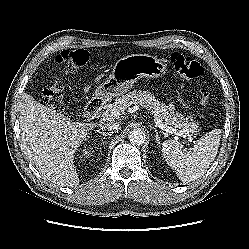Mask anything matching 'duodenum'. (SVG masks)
Here are the masks:
<instances>
[{
    "label": "duodenum",
    "mask_w": 249,
    "mask_h": 249,
    "mask_svg": "<svg viewBox=\"0 0 249 249\" xmlns=\"http://www.w3.org/2000/svg\"><path fill=\"white\" fill-rule=\"evenodd\" d=\"M103 106V100L100 97L92 98L86 105L84 115L87 119H94L99 114Z\"/></svg>",
    "instance_id": "duodenum-1"
}]
</instances>
